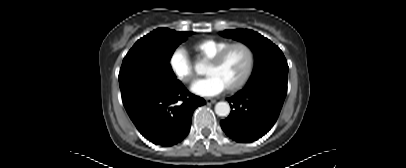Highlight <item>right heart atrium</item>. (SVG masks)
Returning <instances> with one entry per match:
<instances>
[{
    "mask_svg": "<svg viewBox=\"0 0 406 168\" xmlns=\"http://www.w3.org/2000/svg\"><path fill=\"white\" fill-rule=\"evenodd\" d=\"M169 65L174 75L183 83L193 79V67L187 51L183 47L174 49L169 57Z\"/></svg>",
    "mask_w": 406,
    "mask_h": 168,
    "instance_id": "right-heart-atrium-1",
    "label": "right heart atrium"
}]
</instances>
